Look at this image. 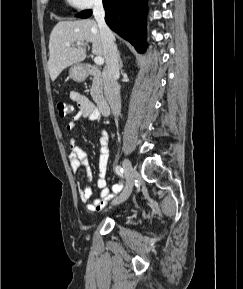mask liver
I'll use <instances>...</instances> for the list:
<instances>
[{"mask_svg":"<svg viewBox=\"0 0 243 289\" xmlns=\"http://www.w3.org/2000/svg\"><path fill=\"white\" fill-rule=\"evenodd\" d=\"M82 42L92 43V53L104 57V47L98 24L93 19L60 21L53 28L49 40L48 70L54 81L67 67L80 63L86 58L84 46L74 45ZM70 43V46H66Z\"/></svg>","mask_w":243,"mask_h":289,"instance_id":"6515ba94","label":"liver"}]
</instances>
